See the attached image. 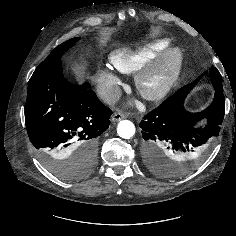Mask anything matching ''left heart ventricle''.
Listing matches in <instances>:
<instances>
[{"label": "left heart ventricle", "mask_w": 236, "mask_h": 236, "mask_svg": "<svg viewBox=\"0 0 236 236\" xmlns=\"http://www.w3.org/2000/svg\"><path fill=\"white\" fill-rule=\"evenodd\" d=\"M165 74H166V71H162L160 73H158L152 80V84L156 85L158 84L159 82L162 81V79L165 77Z\"/></svg>", "instance_id": "b2bd125f"}]
</instances>
